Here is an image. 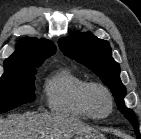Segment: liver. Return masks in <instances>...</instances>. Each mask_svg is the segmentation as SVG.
<instances>
[{
	"label": "liver",
	"mask_w": 141,
	"mask_h": 139,
	"mask_svg": "<svg viewBox=\"0 0 141 139\" xmlns=\"http://www.w3.org/2000/svg\"><path fill=\"white\" fill-rule=\"evenodd\" d=\"M92 128L60 112L12 114L0 117V139H71Z\"/></svg>",
	"instance_id": "obj_1"
}]
</instances>
